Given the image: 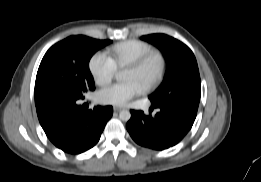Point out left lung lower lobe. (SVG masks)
Instances as JSON below:
<instances>
[{
  "label": "left lung lower lobe",
  "instance_id": "0a47b994",
  "mask_svg": "<svg viewBox=\"0 0 261 182\" xmlns=\"http://www.w3.org/2000/svg\"><path fill=\"white\" fill-rule=\"evenodd\" d=\"M199 99L184 98L167 105L151 106L160 111L152 117L131 110L126 127L132 139L141 146L155 150L177 144L191 129L196 118Z\"/></svg>",
  "mask_w": 261,
  "mask_h": 182
}]
</instances>
